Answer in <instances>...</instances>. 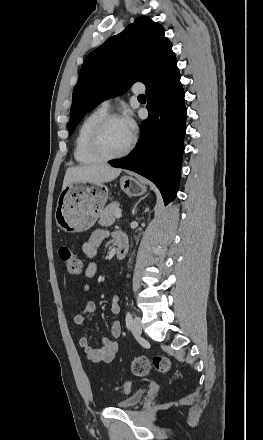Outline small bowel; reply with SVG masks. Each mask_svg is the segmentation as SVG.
<instances>
[{
    "label": "small bowel",
    "instance_id": "obj_1",
    "mask_svg": "<svg viewBox=\"0 0 263 440\" xmlns=\"http://www.w3.org/2000/svg\"><path fill=\"white\" fill-rule=\"evenodd\" d=\"M109 234L105 230H96L82 245L83 256L90 260L85 270V277L90 279L96 274L97 266L93 260L98 255V249L100 245L108 238ZM124 237L120 233H115L113 238L117 241L119 238ZM88 285L81 287V293L88 291ZM96 311V305L93 301L87 300L84 302L80 312L75 316L74 320L76 324L84 327L86 335L80 338L79 345L82 348L86 357L94 363H109L111 362L118 352V343L115 340L121 335V324L115 320L111 325V337H104L101 340V346L95 347L91 344L90 328L86 325V316L91 315ZM111 312L113 315H117L120 312L119 298L114 296L111 302Z\"/></svg>",
    "mask_w": 263,
    "mask_h": 440
}]
</instances>
